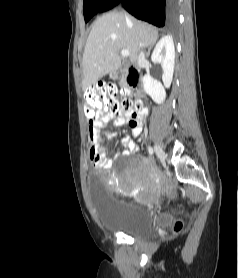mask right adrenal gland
<instances>
[{"label":"right adrenal gland","instance_id":"2a0ac1e0","mask_svg":"<svg viewBox=\"0 0 238 278\" xmlns=\"http://www.w3.org/2000/svg\"><path fill=\"white\" fill-rule=\"evenodd\" d=\"M151 48H152V46H149V48H148V52H147V57L149 56V54H150V50H151Z\"/></svg>","mask_w":238,"mask_h":278}]
</instances>
